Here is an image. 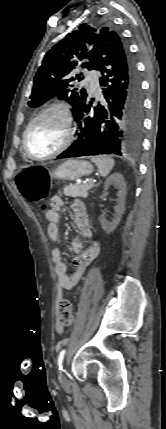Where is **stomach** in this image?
<instances>
[{
    "mask_svg": "<svg viewBox=\"0 0 166 429\" xmlns=\"http://www.w3.org/2000/svg\"><path fill=\"white\" fill-rule=\"evenodd\" d=\"M93 165L84 160L70 159L60 164L50 176L60 180L73 181L93 172Z\"/></svg>",
    "mask_w": 166,
    "mask_h": 429,
    "instance_id": "0dacf381",
    "label": "stomach"
}]
</instances>
